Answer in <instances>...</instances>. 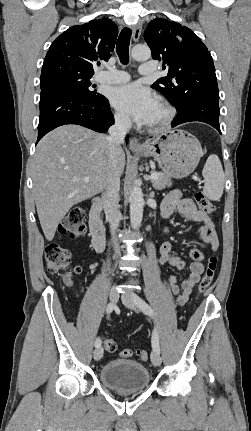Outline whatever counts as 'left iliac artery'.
<instances>
[{
  "instance_id": "obj_1",
  "label": "left iliac artery",
  "mask_w": 251,
  "mask_h": 431,
  "mask_svg": "<svg viewBox=\"0 0 251 431\" xmlns=\"http://www.w3.org/2000/svg\"><path fill=\"white\" fill-rule=\"evenodd\" d=\"M135 303L137 307H139L145 314H147L150 317H153L154 313L152 308L142 298H140L137 295H135ZM152 348L154 351H157L160 353L159 338H158V333L156 329H154L152 333Z\"/></svg>"
}]
</instances>
